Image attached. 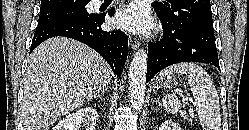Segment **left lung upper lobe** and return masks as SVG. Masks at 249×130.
Instances as JSON below:
<instances>
[{
    "mask_svg": "<svg viewBox=\"0 0 249 130\" xmlns=\"http://www.w3.org/2000/svg\"><path fill=\"white\" fill-rule=\"evenodd\" d=\"M152 7L162 20L213 31L210 0H167L154 2Z\"/></svg>",
    "mask_w": 249,
    "mask_h": 130,
    "instance_id": "left-lung-upper-lobe-1",
    "label": "left lung upper lobe"
}]
</instances>
